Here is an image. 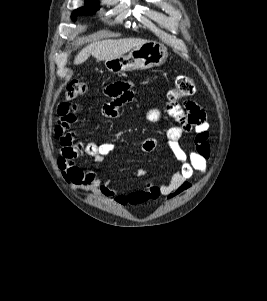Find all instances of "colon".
Instances as JSON below:
<instances>
[{"label":"colon","mask_w":267,"mask_h":301,"mask_svg":"<svg viewBox=\"0 0 267 301\" xmlns=\"http://www.w3.org/2000/svg\"><path fill=\"white\" fill-rule=\"evenodd\" d=\"M196 89L195 82L187 75H180L176 78L173 88L168 93L170 101L175 102L187 98L194 94ZM86 91V85L79 81L73 80L68 83L65 91V98L68 101L74 100Z\"/></svg>","instance_id":"colon-1"}]
</instances>
